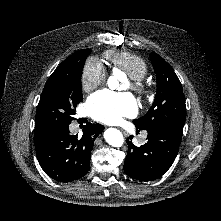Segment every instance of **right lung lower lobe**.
Wrapping results in <instances>:
<instances>
[{
  "instance_id": "98d812e1",
  "label": "right lung lower lobe",
  "mask_w": 221,
  "mask_h": 221,
  "mask_svg": "<svg viewBox=\"0 0 221 221\" xmlns=\"http://www.w3.org/2000/svg\"><path fill=\"white\" fill-rule=\"evenodd\" d=\"M103 129L101 124L87 123L81 138L70 133L69 125L34 135L36 155L44 172L59 182L83 177L89 170L94 140Z\"/></svg>"
}]
</instances>
